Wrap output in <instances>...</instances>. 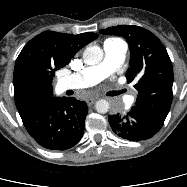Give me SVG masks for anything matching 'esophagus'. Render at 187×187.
I'll return each instance as SVG.
<instances>
[{
    "label": "esophagus",
    "mask_w": 187,
    "mask_h": 187,
    "mask_svg": "<svg viewBox=\"0 0 187 187\" xmlns=\"http://www.w3.org/2000/svg\"><path fill=\"white\" fill-rule=\"evenodd\" d=\"M96 100H97V98H88L86 100V103H87L88 106H91L96 102Z\"/></svg>",
    "instance_id": "obj_1"
}]
</instances>
